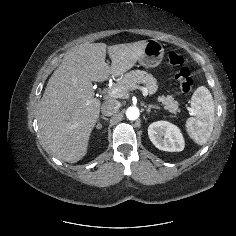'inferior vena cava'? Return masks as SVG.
Wrapping results in <instances>:
<instances>
[{"mask_svg": "<svg viewBox=\"0 0 236 236\" xmlns=\"http://www.w3.org/2000/svg\"><path fill=\"white\" fill-rule=\"evenodd\" d=\"M120 103L117 100L109 99L101 106V112L104 116H111L118 112Z\"/></svg>", "mask_w": 236, "mask_h": 236, "instance_id": "1", "label": "inferior vena cava"}]
</instances>
